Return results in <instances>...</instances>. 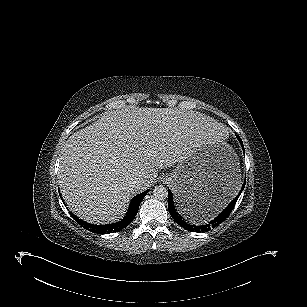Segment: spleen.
<instances>
[{
	"label": "spleen",
	"mask_w": 307,
	"mask_h": 307,
	"mask_svg": "<svg viewBox=\"0 0 307 307\" xmlns=\"http://www.w3.org/2000/svg\"><path fill=\"white\" fill-rule=\"evenodd\" d=\"M223 207L224 206L210 207L207 210H202L192 218V221L195 223H202L206 220H209L213 218L218 212H220Z\"/></svg>",
	"instance_id": "spleen-1"
}]
</instances>
